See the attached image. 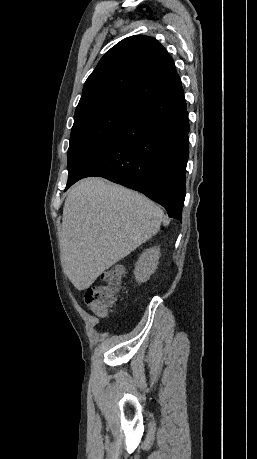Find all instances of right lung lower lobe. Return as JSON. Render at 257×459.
<instances>
[{
  "label": "right lung lower lobe",
  "instance_id": "1",
  "mask_svg": "<svg viewBox=\"0 0 257 459\" xmlns=\"http://www.w3.org/2000/svg\"><path fill=\"white\" fill-rule=\"evenodd\" d=\"M189 120L181 82L138 108L110 142L68 178L100 176L145 194L182 221Z\"/></svg>",
  "mask_w": 257,
  "mask_h": 459
}]
</instances>
